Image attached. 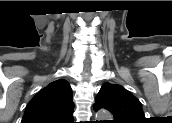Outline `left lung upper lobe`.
Instances as JSON below:
<instances>
[{"mask_svg": "<svg viewBox=\"0 0 172 123\" xmlns=\"http://www.w3.org/2000/svg\"><path fill=\"white\" fill-rule=\"evenodd\" d=\"M105 108L113 114L112 123H143L146 119L140 101L119 84L104 83L94 110Z\"/></svg>", "mask_w": 172, "mask_h": 123, "instance_id": "1", "label": "left lung upper lobe"}]
</instances>
